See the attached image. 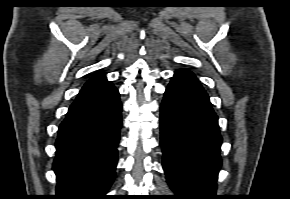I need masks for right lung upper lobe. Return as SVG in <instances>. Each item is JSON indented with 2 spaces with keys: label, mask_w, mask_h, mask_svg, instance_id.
I'll use <instances>...</instances> for the list:
<instances>
[{
  "label": "right lung upper lobe",
  "mask_w": 290,
  "mask_h": 199,
  "mask_svg": "<svg viewBox=\"0 0 290 199\" xmlns=\"http://www.w3.org/2000/svg\"><path fill=\"white\" fill-rule=\"evenodd\" d=\"M106 81V77L102 74L100 75H96L94 77H92L90 80H88L85 85L83 86L82 90L83 89H87V88H90V87H93L95 85H98L102 82Z\"/></svg>",
  "instance_id": "1"
}]
</instances>
